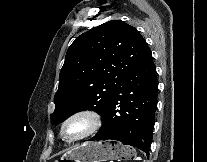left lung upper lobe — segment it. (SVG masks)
Masks as SVG:
<instances>
[{
	"label": "left lung upper lobe",
	"instance_id": "left-lung-upper-lobe-1",
	"mask_svg": "<svg viewBox=\"0 0 207 162\" xmlns=\"http://www.w3.org/2000/svg\"><path fill=\"white\" fill-rule=\"evenodd\" d=\"M148 51L138 31L120 20L81 34L66 53L52 123L86 109L103 116L117 88Z\"/></svg>",
	"mask_w": 207,
	"mask_h": 162
}]
</instances>
